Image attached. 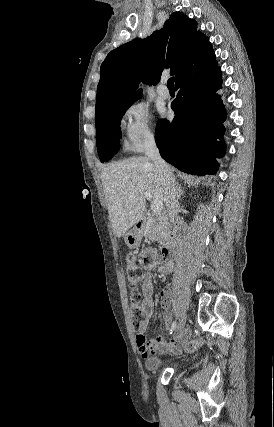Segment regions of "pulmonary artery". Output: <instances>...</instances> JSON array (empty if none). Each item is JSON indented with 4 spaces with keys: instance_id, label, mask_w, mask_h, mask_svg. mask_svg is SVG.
<instances>
[{
    "instance_id": "e3ab8cb5",
    "label": "pulmonary artery",
    "mask_w": 274,
    "mask_h": 427,
    "mask_svg": "<svg viewBox=\"0 0 274 427\" xmlns=\"http://www.w3.org/2000/svg\"><path fill=\"white\" fill-rule=\"evenodd\" d=\"M157 93L163 100H167L170 97V91L165 83H162L158 86Z\"/></svg>"
}]
</instances>
